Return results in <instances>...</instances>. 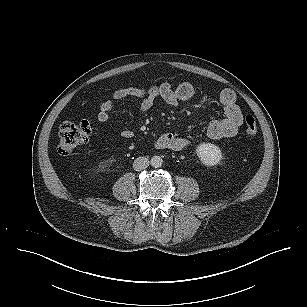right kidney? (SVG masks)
Masks as SVG:
<instances>
[{
    "instance_id": "obj_1",
    "label": "right kidney",
    "mask_w": 307,
    "mask_h": 307,
    "mask_svg": "<svg viewBox=\"0 0 307 307\" xmlns=\"http://www.w3.org/2000/svg\"><path fill=\"white\" fill-rule=\"evenodd\" d=\"M114 161V159H107L105 161L102 162L101 168H105L107 167L108 164H111Z\"/></svg>"
}]
</instances>
